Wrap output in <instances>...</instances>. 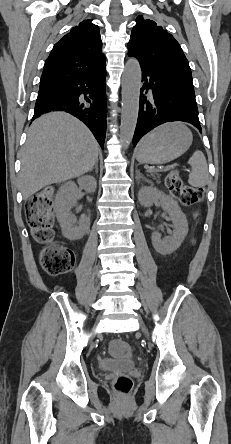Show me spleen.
I'll return each mask as SVG.
<instances>
[{
    "instance_id": "1",
    "label": "spleen",
    "mask_w": 231,
    "mask_h": 444,
    "mask_svg": "<svg viewBox=\"0 0 231 444\" xmlns=\"http://www.w3.org/2000/svg\"><path fill=\"white\" fill-rule=\"evenodd\" d=\"M192 171L189 174L188 183L193 187H203L209 179L207 161L201 151H195L188 160Z\"/></svg>"
}]
</instances>
